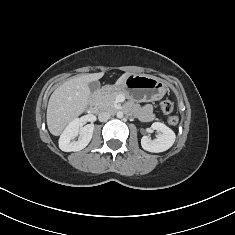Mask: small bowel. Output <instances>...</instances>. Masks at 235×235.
Returning a JSON list of instances; mask_svg holds the SVG:
<instances>
[{"instance_id": "1", "label": "small bowel", "mask_w": 235, "mask_h": 235, "mask_svg": "<svg viewBox=\"0 0 235 235\" xmlns=\"http://www.w3.org/2000/svg\"><path fill=\"white\" fill-rule=\"evenodd\" d=\"M140 119L142 121H150L153 119V113H152V109L149 105L144 106L141 110H140Z\"/></svg>"}]
</instances>
